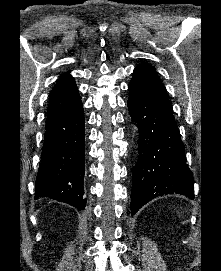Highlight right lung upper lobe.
<instances>
[{"instance_id": "1", "label": "right lung upper lobe", "mask_w": 221, "mask_h": 271, "mask_svg": "<svg viewBox=\"0 0 221 271\" xmlns=\"http://www.w3.org/2000/svg\"><path fill=\"white\" fill-rule=\"evenodd\" d=\"M80 96L74 79L68 73L63 74L58 80L49 95L48 114L63 111L77 102Z\"/></svg>"}]
</instances>
